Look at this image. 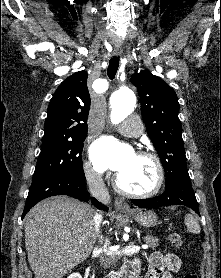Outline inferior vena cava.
Listing matches in <instances>:
<instances>
[{
	"instance_id": "602c4592",
	"label": "inferior vena cava",
	"mask_w": 221,
	"mask_h": 278,
	"mask_svg": "<svg viewBox=\"0 0 221 278\" xmlns=\"http://www.w3.org/2000/svg\"><path fill=\"white\" fill-rule=\"evenodd\" d=\"M86 180H87L89 192L91 193L92 196H94L101 202L110 201L109 192L100 174L92 170H89L86 173ZM101 221H102V215L96 213L94 217V222H95V229H96L97 236L99 237L100 244L103 243L102 236H99ZM100 262L104 268L109 269L113 267V265H115L116 257L111 251L107 250L104 246V250L100 255Z\"/></svg>"
}]
</instances>
